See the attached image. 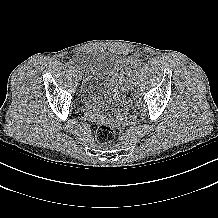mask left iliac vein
Instances as JSON below:
<instances>
[{"label":"left iliac vein","mask_w":218,"mask_h":218,"mask_svg":"<svg viewBox=\"0 0 218 218\" xmlns=\"http://www.w3.org/2000/svg\"><path fill=\"white\" fill-rule=\"evenodd\" d=\"M134 83H135V82L132 80V81L130 82V84L128 85V86H129V88H128V92H129V93H132V92H133L132 86H133Z\"/></svg>","instance_id":"1"}]
</instances>
